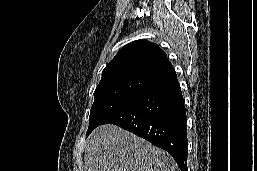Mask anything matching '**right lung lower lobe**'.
<instances>
[{
    "instance_id": "98d812e1",
    "label": "right lung lower lobe",
    "mask_w": 257,
    "mask_h": 171,
    "mask_svg": "<svg viewBox=\"0 0 257 171\" xmlns=\"http://www.w3.org/2000/svg\"><path fill=\"white\" fill-rule=\"evenodd\" d=\"M186 110L176 74L136 95L103 124H115L169 152L188 171Z\"/></svg>"
}]
</instances>
